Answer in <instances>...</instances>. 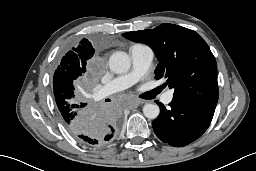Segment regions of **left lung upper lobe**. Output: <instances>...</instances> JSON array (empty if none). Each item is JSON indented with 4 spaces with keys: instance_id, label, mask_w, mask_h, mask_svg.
<instances>
[{
    "instance_id": "left-lung-upper-lobe-1",
    "label": "left lung upper lobe",
    "mask_w": 256,
    "mask_h": 171,
    "mask_svg": "<svg viewBox=\"0 0 256 171\" xmlns=\"http://www.w3.org/2000/svg\"><path fill=\"white\" fill-rule=\"evenodd\" d=\"M149 45L160 63L155 78H166L174 98L192 100L210 107L218 101L217 65L204 41L195 31L169 23L150 30L122 34Z\"/></svg>"
}]
</instances>
